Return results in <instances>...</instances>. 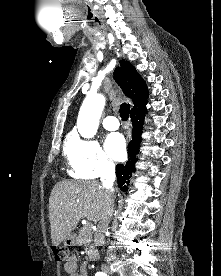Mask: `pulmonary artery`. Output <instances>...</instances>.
Returning <instances> with one entry per match:
<instances>
[{
  "label": "pulmonary artery",
  "instance_id": "1",
  "mask_svg": "<svg viewBox=\"0 0 221 276\" xmlns=\"http://www.w3.org/2000/svg\"><path fill=\"white\" fill-rule=\"evenodd\" d=\"M103 127L107 130H116L119 128V121L116 117L107 116L102 121Z\"/></svg>",
  "mask_w": 221,
  "mask_h": 276
}]
</instances>
